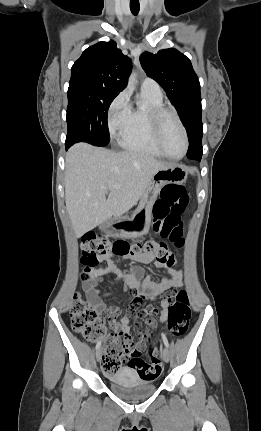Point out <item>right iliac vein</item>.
<instances>
[{"label": "right iliac vein", "instance_id": "1", "mask_svg": "<svg viewBox=\"0 0 261 431\" xmlns=\"http://www.w3.org/2000/svg\"><path fill=\"white\" fill-rule=\"evenodd\" d=\"M101 353H102L101 349H98L97 352H96V359H97V361H100Z\"/></svg>", "mask_w": 261, "mask_h": 431}]
</instances>
